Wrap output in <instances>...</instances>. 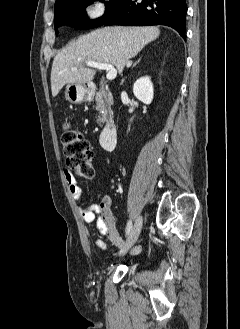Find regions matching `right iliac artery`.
I'll return each mask as SVG.
<instances>
[{"instance_id":"obj_1","label":"right iliac artery","mask_w":240,"mask_h":329,"mask_svg":"<svg viewBox=\"0 0 240 329\" xmlns=\"http://www.w3.org/2000/svg\"><path fill=\"white\" fill-rule=\"evenodd\" d=\"M131 230H132V221L129 220L126 226V235H128Z\"/></svg>"}]
</instances>
